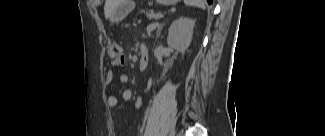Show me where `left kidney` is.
<instances>
[{"mask_svg":"<svg viewBox=\"0 0 325 136\" xmlns=\"http://www.w3.org/2000/svg\"><path fill=\"white\" fill-rule=\"evenodd\" d=\"M194 26L195 21L187 17L175 20L168 30V46L179 52H185L192 41Z\"/></svg>","mask_w":325,"mask_h":136,"instance_id":"left-kidney-1","label":"left kidney"}]
</instances>
